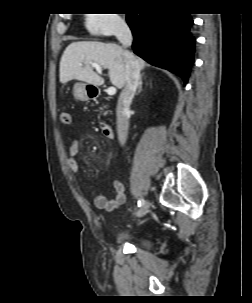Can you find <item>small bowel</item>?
Returning a JSON list of instances; mask_svg holds the SVG:
<instances>
[{
  "label": "small bowel",
  "instance_id": "obj_1",
  "mask_svg": "<svg viewBox=\"0 0 252 303\" xmlns=\"http://www.w3.org/2000/svg\"><path fill=\"white\" fill-rule=\"evenodd\" d=\"M79 144L80 141L75 139L69 145L67 166L73 174L79 173V164L76 160V155L79 151ZM112 188L114 191V197L109 200L99 193L91 192V199L95 207L105 211H113L125 202L126 197L124 193V185L119 180H114L112 182Z\"/></svg>",
  "mask_w": 252,
  "mask_h": 303
}]
</instances>
